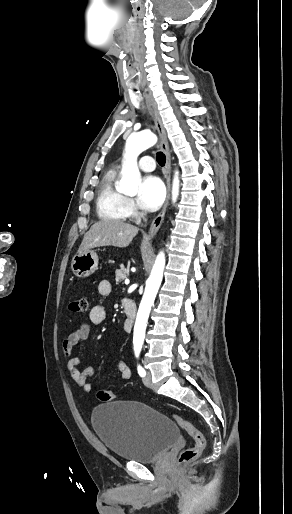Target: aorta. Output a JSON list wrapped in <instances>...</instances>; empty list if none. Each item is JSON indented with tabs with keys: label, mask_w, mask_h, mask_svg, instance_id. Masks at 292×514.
<instances>
[{
	"label": "aorta",
	"mask_w": 292,
	"mask_h": 514,
	"mask_svg": "<svg viewBox=\"0 0 292 514\" xmlns=\"http://www.w3.org/2000/svg\"><path fill=\"white\" fill-rule=\"evenodd\" d=\"M157 142V136L152 134L150 130L131 134L126 142V154L124 156V166L122 168V178L119 182L120 188L126 196H134L137 194L138 182L140 180V172L137 166V158L141 152L148 150ZM179 194L178 172H175L172 186V200L176 202ZM165 268V256L160 252L156 258L150 278L146 282L144 296L139 306L135 326L133 344L135 350H141L145 338L146 324L150 314L151 306L156 298V294L160 288Z\"/></svg>",
	"instance_id": "1"
}]
</instances>
